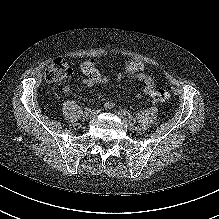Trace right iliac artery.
<instances>
[{"mask_svg":"<svg viewBox=\"0 0 219 219\" xmlns=\"http://www.w3.org/2000/svg\"><path fill=\"white\" fill-rule=\"evenodd\" d=\"M84 112H85V113L91 112V108H90V107H85V108H84Z\"/></svg>","mask_w":219,"mask_h":219,"instance_id":"1","label":"right iliac artery"}]
</instances>
